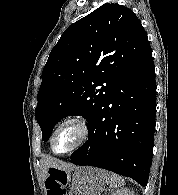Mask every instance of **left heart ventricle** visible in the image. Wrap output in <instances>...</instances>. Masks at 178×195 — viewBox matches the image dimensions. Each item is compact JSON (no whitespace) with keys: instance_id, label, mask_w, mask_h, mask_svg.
<instances>
[{"instance_id":"obj_1","label":"left heart ventricle","mask_w":178,"mask_h":195,"mask_svg":"<svg viewBox=\"0 0 178 195\" xmlns=\"http://www.w3.org/2000/svg\"><path fill=\"white\" fill-rule=\"evenodd\" d=\"M81 132L75 125L64 126L56 135L54 149L58 152H63L74 146L79 138Z\"/></svg>"}]
</instances>
